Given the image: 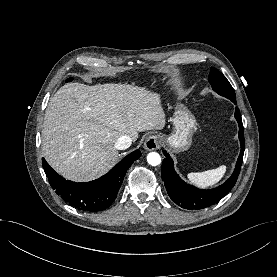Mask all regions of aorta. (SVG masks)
<instances>
[{
	"label": "aorta",
	"instance_id": "obj_1",
	"mask_svg": "<svg viewBox=\"0 0 277 277\" xmlns=\"http://www.w3.org/2000/svg\"><path fill=\"white\" fill-rule=\"evenodd\" d=\"M147 162L152 166H157L161 163V157L157 152H151L147 156Z\"/></svg>",
	"mask_w": 277,
	"mask_h": 277
}]
</instances>
